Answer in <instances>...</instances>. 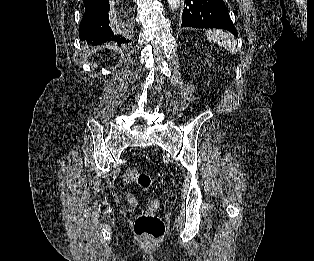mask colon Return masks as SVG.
<instances>
[{
    "label": "colon",
    "mask_w": 314,
    "mask_h": 261,
    "mask_svg": "<svg viewBox=\"0 0 314 261\" xmlns=\"http://www.w3.org/2000/svg\"><path fill=\"white\" fill-rule=\"evenodd\" d=\"M124 180L127 183H135L142 190L147 191L152 185V178L148 173L130 168L124 173ZM158 206L157 201H153L146 211L141 213L135 220L134 232L137 236L148 242L160 239L165 232V224L162 219L155 214Z\"/></svg>",
    "instance_id": "5ec220e1"
}]
</instances>
